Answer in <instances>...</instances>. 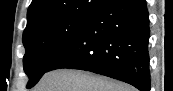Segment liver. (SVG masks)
Segmentation results:
<instances>
[{"label": "liver", "instance_id": "1", "mask_svg": "<svg viewBox=\"0 0 173 91\" xmlns=\"http://www.w3.org/2000/svg\"><path fill=\"white\" fill-rule=\"evenodd\" d=\"M32 91H135L133 87L105 76L73 69L45 73Z\"/></svg>", "mask_w": 173, "mask_h": 91}]
</instances>
